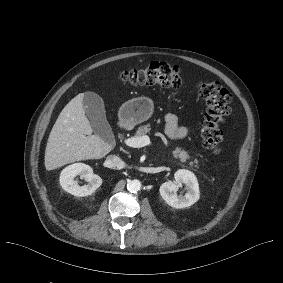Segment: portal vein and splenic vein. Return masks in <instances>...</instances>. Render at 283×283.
<instances>
[{
  "label": "portal vein and splenic vein",
  "instance_id": "portal-vein-and-splenic-vein-1",
  "mask_svg": "<svg viewBox=\"0 0 283 283\" xmlns=\"http://www.w3.org/2000/svg\"><path fill=\"white\" fill-rule=\"evenodd\" d=\"M125 143L129 147L141 148V147L149 145L151 142H150L149 136L144 135V136H141V137L128 138V139L125 140Z\"/></svg>",
  "mask_w": 283,
  "mask_h": 283
}]
</instances>
